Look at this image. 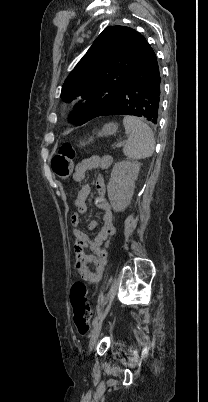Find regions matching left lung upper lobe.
<instances>
[{"mask_svg": "<svg viewBox=\"0 0 208 402\" xmlns=\"http://www.w3.org/2000/svg\"><path fill=\"white\" fill-rule=\"evenodd\" d=\"M132 32L125 26L104 29L65 80L62 99L81 96L86 100L74 117L76 125L97 117L109 106L136 69L138 43Z\"/></svg>", "mask_w": 208, "mask_h": 402, "instance_id": "5c2ea615", "label": "left lung upper lobe"}]
</instances>
